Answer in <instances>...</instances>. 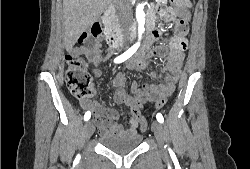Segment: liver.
Wrapping results in <instances>:
<instances>
[{"label":"liver","mask_w":250,"mask_h":169,"mask_svg":"<svg viewBox=\"0 0 250 169\" xmlns=\"http://www.w3.org/2000/svg\"><path fill=\"white\" fill-rule=\"evenodd\" d=\"M110 0H63L64 44L72 48L80 34L96 22Z\"/></svg>","instance_id":"obj_1"}]
</instances>
